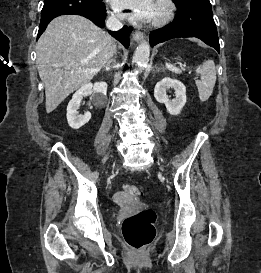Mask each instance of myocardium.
I'll list each match as a JSON object with an SVG mask.
<instances>
[{"label": "myocardium", "mask_w": 261, "mask_h": 273, "mask_svg": "<svg viewBox=\"0 0 261 273\" xmlns=\"http://www.w3.org/2000/svg\"><path fill=\"white\" fill-rule=\"evenodd\" d=\"M157 6L160 12L156 17L152 18L151 23L154 26H162L173 18L175 5L172 0H157Z\"/></svg>", "instance_id": "myocardium-1"}]
</instances>
